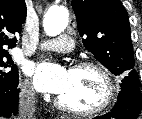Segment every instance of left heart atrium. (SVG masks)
<instances>
[{
  "label": "left heart atrium",
  "instance_id": "39dd6f15",
  "mask_svg": "<svg viewBox=\"0 0 142 119\" xmlns=\"http://www.w3.org/2000/svg\"><path fill=\"white\" fill-rule=\"evenodd\" d=\"M29 73L39 91L60 95L67 87L70 71L54 64L41 63L31 66Z\"/></svg>",
  "mask_w": 142,
  "mask_h": 119
}]
</instances>
